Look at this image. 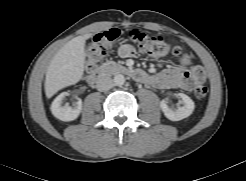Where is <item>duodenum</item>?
Returning <instances> with one entry per match:
<instances>
[{
	"label": "duodenum",
	"instance_id": "duodenum-1",
	"mask_svg": "<svg viewBox=\"0 0 246 181\" xmlns=\"http://www.w3.org/2000/svg\"><path fill=\"white\" fill-rule=\"evenodd\" d=\"M110 72L125 74L137 81H144L146 78V73L141 70L133 69L123 65L108 64L96 71H93L89 75L88 77L89 84L101 85L102 83L105 82L106 75Z\"/></svg>",
	"mask_w": 246,
	"mask_h": 181
}]
</instances>
